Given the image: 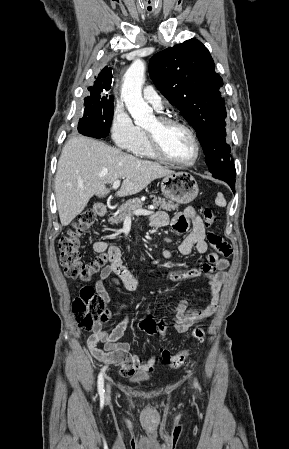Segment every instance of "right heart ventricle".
Wrapping results in <instances>:
<instances>
[{
  "mask_svg": "<svg viewBox=\"0 0 289 449\" xmlns=\"http://www.w3.org/2000/svg\"><path fill=\"white\" fill-rule=\"evenodd\" d=\"M134 153L142 157H156L150 148L149 141L145 132H143L142 140L139 146L135 149Z\"/></svg>",
  "mask_w": 289,
  "mask_h": 449,
  "instance_id": "e07e8e85",
  "label": "right heart ventricle"
}]
</instances>
